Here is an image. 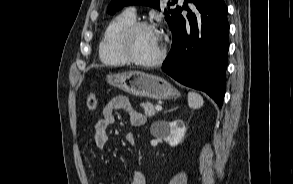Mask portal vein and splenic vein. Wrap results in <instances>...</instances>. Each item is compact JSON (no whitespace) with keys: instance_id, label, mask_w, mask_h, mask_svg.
<instances>
[{"instance_id":"1","label":"portal vein and splenic vein","mask_w":293,"mask_h":184,"mask_svg":"<svg viewBox=\"0 0 293 184\" xmlns=\"http://www.w3.org/2000/svg\"><path fill=\"white\" fill-rule=\"evenodd\" d=\"M155 109H156L157 111H161V110H162V107L159 106V105H157V106L155 107Z\"/></svg>"}]
</instances>
